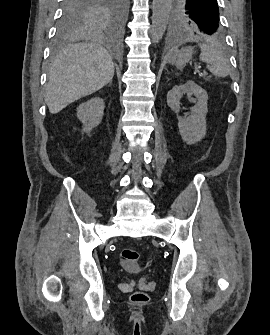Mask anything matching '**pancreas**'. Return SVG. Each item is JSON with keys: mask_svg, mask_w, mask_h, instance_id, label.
Instances as JSON below:
<instances>
[{"mask_svg": "<svg viewBox=\"0 0 270 335\" xmlns=\"http://www.w3.org/2000/svg\"><path fill=\"white\" fill-rule=\"evenodd\" d=\"M204 76H207V74H204ZM207 78H208V80H209V78H211V76H207Z\"/></svg>", "mask_w": 270, "mask_h": 335, "instance_id": "cf45deb5", "label": "pancreas"}]
</instances>
